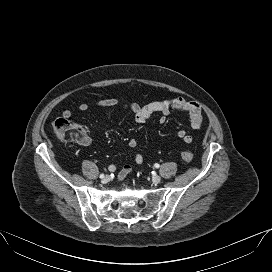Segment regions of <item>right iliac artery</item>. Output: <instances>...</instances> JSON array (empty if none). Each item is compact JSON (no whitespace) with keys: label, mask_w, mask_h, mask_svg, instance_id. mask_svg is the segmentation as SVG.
Masks as SVG:
<instances>
[{"label":"right iliac artery","mask_w":272,"mask_h":272,"mask_svg":"<svg viewBox=\"0 0 272 272\" xmlns=\"http://www.w3.org/2000/svg\"><path fill=\"white\" fill-rule=\"evenodd\" d=\"M100 178H104V174H100Z\"/></svg>","instance_id":"1"}]
</instances>
